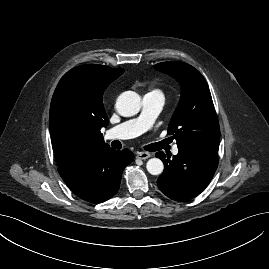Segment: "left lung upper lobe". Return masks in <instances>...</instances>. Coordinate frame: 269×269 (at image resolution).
<instances>
[{
	"instance_id": "obj_1",
	"label": "left lung upper lobe",
	"mask_w": 269,
	"mask_h": 269,
	"mask_svg": "<svg viewBox=\"0 0 269 269\" xmlns=\"http://www.w3.org/2000/svg\"><path fill=\"white\" fill-rule=\"evenodd\" d=\"M155 69L174 77L181 85L180 102L168 127V134L176 138L178 148L219 144L218 118L209 87L200 72L183 62H162Z\"/></svg>"
}]
</instances>
